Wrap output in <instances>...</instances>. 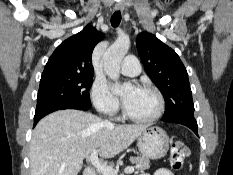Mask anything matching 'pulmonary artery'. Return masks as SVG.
<instances>
[{"label":"pulmonary artery","mask_w":233,"mask_h":175,"mask_svg":"<svg viewBox=\"0 0 233 175\" xmlns=\"http://www.w3.org/2000/svg\"><path fill=\"white\" fill-rule=\"evenodd\" d=\"M121 72L126 76H136L140 73V63L138 59L129 55L125 57L121 64Z\"/></svg>","instance_id":"obj_1"}]
</instances>
